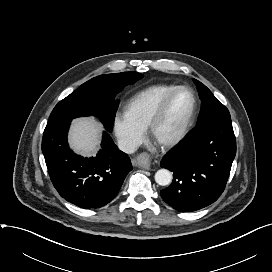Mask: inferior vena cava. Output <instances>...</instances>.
Listing matches in <instances>:
<instances>
[{
  "label": "inferior vena cava",
  "instance_id": "1",
  "mask_svg": "<svg viewBox=\"0 0 272 272\" xmlns=\"http://www.w3.org/2000/svg\"><path fill=\"white\" fill-rule=\"evenodd\" d=\"M118 147L121 151L127 154H132L137 150L138 145L133 141L121 140L118 142Z\"/></svg>",
  "mask_w": 272,
  "mask_h": 272
}]
</instances>
